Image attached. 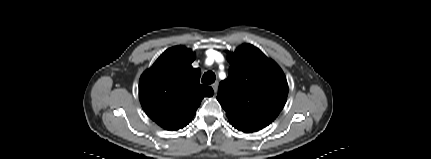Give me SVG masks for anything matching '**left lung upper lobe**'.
<instances>
[{"label":"left lung upper lobe","mask_w":431,"mask_h":159,"mask_svg":"<svg viewBox=\"0 0 431 159\" xmlns=\"http://www.w3.org/2000/svg\"><path fill=\"white\" fill-rule=\"evenodd\" d=\"M228 79L217 100L233 127L249 133L269 125L283 109L288 84L281 68L258 48L243 44L228 56Z\"/></svg>","instance_id":"5c2ea615"}]
</instances>
